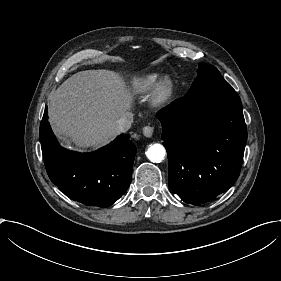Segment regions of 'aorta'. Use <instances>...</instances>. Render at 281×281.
<instances>
[{
    "label": "aorta",
    "instance_id": "aorta-1",
    "mask_svg": "<svg viewBox=\"0 0 281 281\" xmlns=\"http://www.w3.org/2000/svg\"><path fill=\"white\" fill-rule=\"evenodd\" d=\"M146 156L151 162L160 163L165 159L166 150L163 145L155 143L148 147Z\"/></svg>",
    "mask_w": 281,
    "mask_h": 281
}]
</instances>
